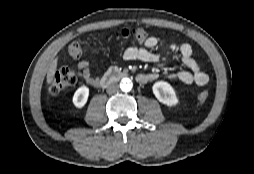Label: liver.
Returning <instances> with one entry per match:
<instances>
[{"mask_svg":"<svg viewBox=\"0 0 254 174\" xmlns=\"http://www.w3.org/2000/svg\"><path fill=\"white\" fill-rule=\"evenodd\" d=\"M57 63L58 59H54L53 62L51 63L48 72H47V83L50 84L53 81L54 74L57 70Z\"/></svg>","mask_w":254,"mask_h":174,"instance_id":"1","label":"liver"}]
</instances>
